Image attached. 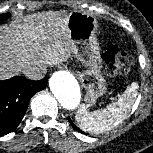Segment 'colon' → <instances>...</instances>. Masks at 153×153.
Returning a JSON list of instances; mask_svg holds the SVG:
<instances>
[{
	"mask_svg": "<svg viewBox=\"0 0 153 153\" xmlns=\"http://www.w3.org/2000/svg\"><path fill=\"white\" fill-rule=\"evenodd\" d=\"M102 58L108 75L126 73L129 71L132 63L129 54L118 46L109 47Z\"/></svg>",
	"mask_w": 153,
	"mask_h": 153,
	"instance_id": "obj_1",
	"label": "colon"
}]
</instances>
